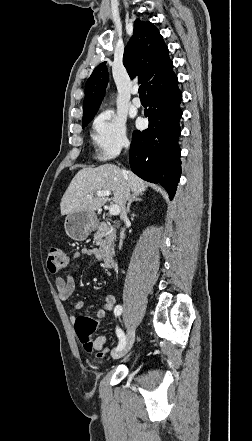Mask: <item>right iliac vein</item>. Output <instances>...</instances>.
Masks as SVG:
<instances>
[{"instance_id": "1", "label": "right iliac vein", "mask_w": 252, "mask_h": 441, "mask_svg": "<svg viewBox=\"0 0 252 441\" xmlns=\"http://www.w3.org/2000/svg\"><path fill=\"white\" fill-rule=\"evenodd\" d=\"M134 338H135V329H134V327H129L128 332H127V336H126L125 346L121 350L112 352V354H111L112 357L114 359H119V358L125 356L132 348V345L134 343Z\"/></svg>"}]
</instances>
